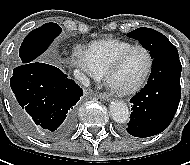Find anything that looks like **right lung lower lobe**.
Wrapping results in <instances>:
<instances>
[{
    "label": "right lung lower lobe",
    "instance_id": "obj_1",
    "mask_svg": "<svg viewBox=\"0 0 190 165\" xmlns=\"http://www.w3.org/2000/svg\"><path fill=\"white\" fill-rule=\"evenodd\" d=\"M10 86L16 117L28 131L58 140L74 130L83 91L60 69L39 61L22 64L13 70Z\"/></svg>",
    "mask_w": 190,
    "mask_h": 165
}]
</instances>
